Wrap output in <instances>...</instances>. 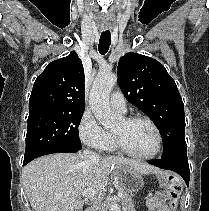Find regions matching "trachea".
Instances as JSON below:
<instances>
[{"instance_id":"trachea-1","label":"trachea","mask_w":209,"mask_h":211,"mask_svg":"<svg viewBox=\"0 0 209 211\" xmlns=\"http://www.w3.org/2000/svg\"><path fill=\"white\" fill-rule=\"evenodd\" d=\"M111 44V33L110 31H105L101 33L98 50L100 54L104 55L108 52Z\"/></svg>"}]
</instances>
